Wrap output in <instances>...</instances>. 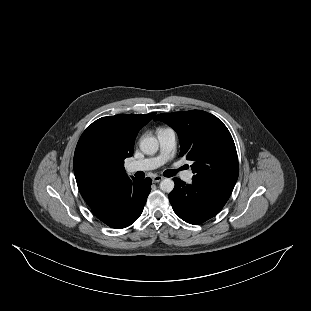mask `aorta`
<instances>
[{"label":"aorta","mask_w":311,"mask_h":311,"mask_svg":"<svg viewBox=\"0 0 311 311\" xmlns=\"http://www.w3.org/2000/svg\"><path fill=\"white\" fill-rule=\"evenodd\" d=\"M159 142L155 137H144L140 141V149L144 154L153 155L158 151ZM160 189L170 193L174 189V182L170 178H165L160 182Z\"/></svg>","instance_id":"762f6f07"}]
</instances>
